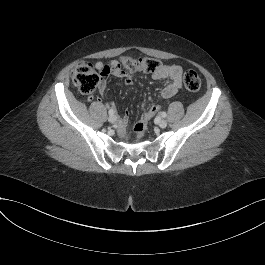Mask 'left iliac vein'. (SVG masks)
<instances>
[{
    "label": "left iliac vein",
    "instance_id": "1",
    "mask_svg": "<svg viewBox=\"0 0 265 265\" xmlns=\"http://www.w3.org/2000/svg\"><path fill=\"white\" fill-rule=\"evenodd\" d=\"M158 125L160 128H166L167 127V122L164 119H160L158 122Z\"/></svg>",
    "mask_w": 265,
    "mask_h": 265
}]
</instances>
